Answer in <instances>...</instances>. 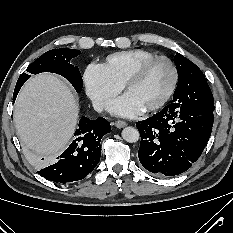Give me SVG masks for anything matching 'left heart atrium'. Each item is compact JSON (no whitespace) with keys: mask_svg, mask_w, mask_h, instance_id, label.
I'll return each mask as SVG.
<instances>
[{"mask_svg":"<svg viewBox=\"0 0 233 233\" xmlns=\"http://www.w3.org/2000/svg\"><path fill=\"white\" fill-rule=\"evenodd\" d=\"M111 113L132 117L138 115L144 111V108L141 107L129 94H125L121 98L115 100L109 107Z\"/></svg>","mask_w":233,"mask_h":233,"instance_id":"39dd6f15","label":"left heart atrium"}]
</instances>
